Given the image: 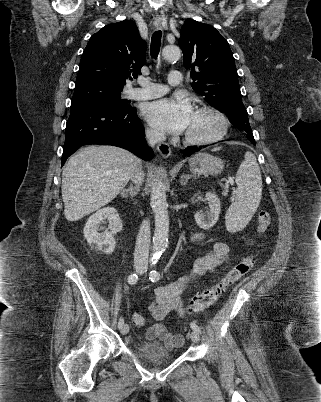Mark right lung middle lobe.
Masks as SVG:
<instances>
[{"mask_svg":"<svg viewBox=\"0 0 321 402\" xmlns=\"http://www.w3.org/2000/svg\"><path fill=\"white\" fill-rule=\"evenodd\" d=\"M123 89L100 83L75 84L71 108L96 106L109 110H125L131 106L121 99Z\"/></svg>","mask_w":321,"mask_h":402,"instance_id":"1","label":"right lung middle lobe"}]
</instances>
